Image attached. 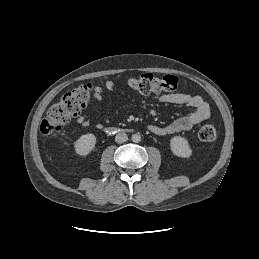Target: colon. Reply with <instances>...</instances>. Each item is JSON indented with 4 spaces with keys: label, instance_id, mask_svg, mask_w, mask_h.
Wrapping results in <instances>:
<instances>
[{
    "label": "colon",
    "instance_id": "colon-1",
    "mask_svg": "<svg viewBox=\"0 0 259 259\" xmlns=\"http://www.w3.org/2000/svg\"><path fill=\"white\" fill-rule=\"evenodd\" d=\"M129 86L141 94L174 92L178 89L179 80L174 75L156 77L153 74H143L129 81ZM93 87L90 83L83 84L66 93L60 101L53 104L46 118L40 125L43 134H53L62 129L72 118L78 116L88 104ZM200 140L213 141L216 138V129L212 125H204L198 132Z\"/></svg>",
    "mask_w": 259,
    "mask_h": 259
}]
</instances>
